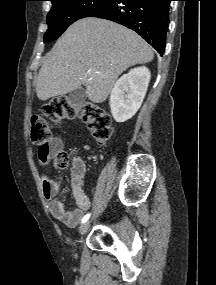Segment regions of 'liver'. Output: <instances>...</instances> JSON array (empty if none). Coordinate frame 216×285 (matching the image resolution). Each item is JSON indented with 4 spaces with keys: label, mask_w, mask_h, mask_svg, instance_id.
<instances>
[{
    "label": "liver",
    "mask_w": 216,
    "mask_h": 285,
    "mask_svg": "<svg viewBox=\"0 0 216 285\" xmlns=\"http://www.w3.org/2000/svg\"><path fill=\"white\" fill-rule=\"evenodd\" d=\"M153 58L151 47L134 31L103 19H81L64 32L43 62L37 97L46 101L83 84L88 99L102 103L123 71Z\"/></svg>",
    "instance_id": "obj_1"
}]
</instances>
